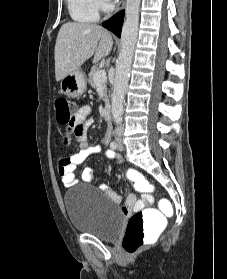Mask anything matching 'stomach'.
Returning a JSON list of instances; mask_svg holds the SVG:
<instances>
[{
  "instance_id": "1",
  "label": "stomach",
  "mask_w": 227,
  "mask_h": 279,
  "mask_svg": "<svg viewBox=\"0 0 227 279\" xmlns=\"http://www.w3.org/2000/svg\"><path fill=\"white\" fill-rule=\"evenodd\" d=\"M60 89L70 98L79 97L86 90L84 74L79 69L69 73L61 79Z\"/></svg>"
}]
</instances>
